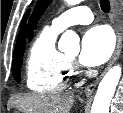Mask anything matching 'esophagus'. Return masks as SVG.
Here are the masks:
<instances>
[{"mask_svg": "<svg viewBox=\"0 0 123 113\" xmlns=\"http://www.w3.org/2000/svg\"><path fill=\"white\" fill-rule=\"evenodd\" d=\"M111 3V12H112V19H113V24H114V29L116 32V36H117V43H116V48L114 51V54L112 56V59L110 61V63L108 64V66L106 67L105 71L94 81L92 82L86 89H85V94L86 95H91L95 88L97 87L99 81L101 80V78L103 77V75L111 68V66L115 63V61L117 60V58L120 55L121 52V48H122V34H121V29L119 26V22L117 19V15H116V11L118 8V3L116 0H110Z\"/></svg>", "mask_w": 123, "mask_h": 113, "instance_id": "esophagus-1", "label": "esophagus"}]
</instances>
